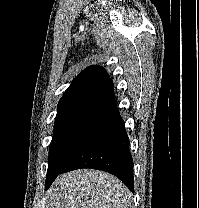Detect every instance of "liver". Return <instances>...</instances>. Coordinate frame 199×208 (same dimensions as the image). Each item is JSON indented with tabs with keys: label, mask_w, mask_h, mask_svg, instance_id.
Here are the masks:
<instances>
[{
	"label": "liver",
	"mask_w": 199,
	"mask_h": 208,
	"mask_svg": "<svg viewBox=\"0 0 199 208\" xmlns=\"http://www.w3.org/2000/svg\"><path fill=\"white\" fill-rule=\"evenodd\" d=\"M47 208H132V195L115 176L80 169L58 176L47 191Z\"/></svg>",
	"instance_id": "1"
}]
</instances>
